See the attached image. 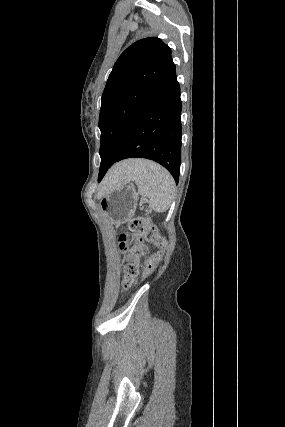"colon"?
Here are the masks:
<instances>
[{"label": "colon", "mask_w": 285, "mask_h": 427, "mask_svg": "<svg viewBox=\"0 0 285 427\" xmlns=\"http://www.w3.org/2000/svg\"><path fill=\"white\" fill-rule=\"evenodd\" d=\"M128 231L134 235L135 240L130 248L133 256L140 257L145 253L146 245H153L157 251L147 255L144 261L143 274L151 273L162 261L164 253L167 249L166 240L161 237L154 226H152L147 218H134L128 224ZM121 248H124L123 241ZM139 265L136 260L130 261L125 266V278L123 281V289L127 290L134 278L139 274Z\"/></svg>", "instance_id": "obj_1"}]
</instances>
